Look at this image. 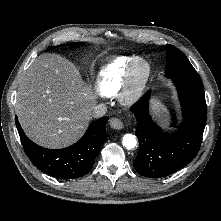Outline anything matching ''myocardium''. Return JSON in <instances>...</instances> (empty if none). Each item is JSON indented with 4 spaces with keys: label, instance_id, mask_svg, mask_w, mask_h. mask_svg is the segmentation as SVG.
<instances>
[{
    "label": "myocardium",
    "instance_id": "obj_1",
    "mask_svg": "<svg viewBox=\"0 0 221 221\" xmlns=\"http://www.w3.org/2000/svg\"><path fill=\"white\" fill-rule=\"evenodd\" d=\"M139 63L144 65L145 72L142 78L138 82H135L134 71L135 67ZM151 72L152 69L150 63L143 57H135L130 62L125 72L123 83L120 89L119 97L122 104L132 105L140 99L150 79Z\"/></svg>",
    "mask_w": 221,
    "mask_h": 221
}]
</instances>
